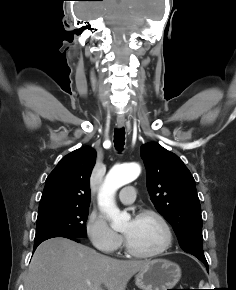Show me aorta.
<instances>
[{
  "label": "aorta",
  "instance_id": "762f6f07",
  "mask_svg": "<svg viewBox=\"0 0 236 290\" xmlns=\"http://www.w3.org/2000/svg\"><path fill=\"white\" fill-rule=\"evenodd\" d=\"M141 168L136 163L114 166L106 175L98 194V204L111 221L112 229L119 231L130 220V215L121 212L115 204L114 196L122 186L134 181L140 174Z\"/></svg>",
  "mask_w": 236,
  "mask_h": 290
}]
</instances>
